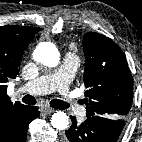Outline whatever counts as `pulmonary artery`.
<instances>
[{
  "mask_svg": "<svg viewBox=\"0 0 142 142\" xmlns=\"http://www.w3.org/2000/svg\"><path fill=\"white\" fill-rule=\"evenodd\" d=\"M78 66V57L75 54L68 52L64 56L63 62L56 72L26 82L22 85L20 91L34 95L58 92L62 96L61 101L67 103L71 112L77 116H82L85 108L77 104L72 92L69 90V84L72 81Z\"/></svg>",
  "mask_w": 142,
  "mask_h": 142,
  "instance_id": "1",
  "label": "pulmonary artery"
}]
</instances>
